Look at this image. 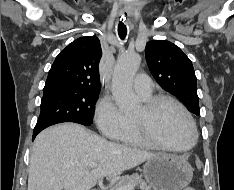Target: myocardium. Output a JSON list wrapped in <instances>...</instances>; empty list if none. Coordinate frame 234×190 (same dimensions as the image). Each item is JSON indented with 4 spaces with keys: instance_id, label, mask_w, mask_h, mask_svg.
<instances>
[{
    "instance_id": "f54148a6",
    "label": "myocardium",
    "mask_w": 234,
    "mask_h": 190,
    "mask_svg": "<svg viewBox=\"0 0 234 190\" xmlns=\"http://www.w3.org/2000/svg\"><path fill=\"white\" fill-rule=\"evenodd\" d=\"M165 104H172L176 106L187 118L193 131L192 142L184 147H174L163 143L155 135L153 130V121L158 112V110ZM144 116L141 118H135V124L140 135L145 139L151 146H155L161 149L170 150L174 152H186L191 150L198 141V129L195 120L188 109L177 99L167 96L158 95L148 99L144 104Z\"/></svg>"
}]
</instances>
